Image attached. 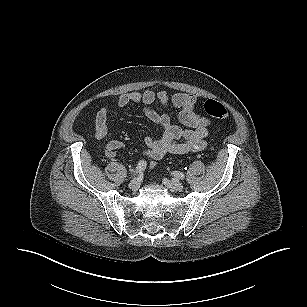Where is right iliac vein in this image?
<instances>
[{
    "label": "right iliac vein",
    "mask_w": 307,
    "mask_h": 307,
    "mask_svg": "<svg viewBox=\"0 0 307 307\" xmlns=\"http://www.w3.org/2000/svg\"><path fill=\"white\" fill-rule=\"evenodd\" d=\"M129 188L132 190H136L139 188V181L137 178L131 180V182L129 183Z\"/></svg>",
    "instance_id": "right-iliac-vein-1"
}]
</instances>
